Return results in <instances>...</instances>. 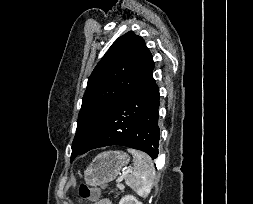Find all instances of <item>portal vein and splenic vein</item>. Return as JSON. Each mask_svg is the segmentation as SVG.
I'll return each instance as SVG.
<instances>
[{
    "label": "portal vein and splenic vein",
    "mask_w": 253,
    "mask_h": 204,
    "mask_svg": "<svg viewBox=\"0 0 253 204\" xmlns=\"http://www.w3.org/2000/svg\"><path fill=\"white\" fill-rule=\"evenodd\" d=\"M132 170L131 169H127L125 172H123V174L119 177L118 182H121L123 180V178L128 174L131 173Z\"/></svg>",
    "instance_id": "18ae733b"
}]
</instances>
